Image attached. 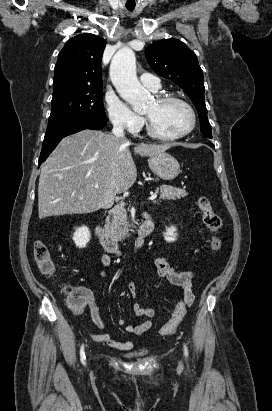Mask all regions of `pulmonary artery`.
I'll list each match as a JSON object with an SVG mask.
<instances>
[{"mask_svg":"<svg viewBox=\"0 0 272 411\" xmlns=\"http://www.w3.org/2000/svg\"><path fill=\"white\" fill-rule=\"evenodd\" d=\"M140 81L143 84V86H145L153 92H157L161 87L159 79L156 76L149 73L141 74Z\"/></svg>","mask_w":272,"mask_h":411,"instance_id":"obj_1","label":"pulmonary artery"}]
</instances>
